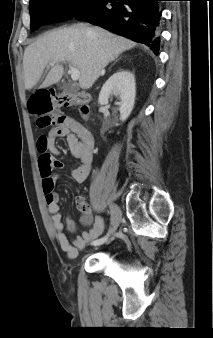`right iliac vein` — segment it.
I'll use <instances>...</instances> for the list:
<instances>
[{
	"instance_id": "63e3f726",
	"label": "right iliac vein",
	"mask_w": 213,
	"mask_h": 338,
	"mask_svg": "<svg viewBox=\"0 0 213 338\" xmlns=\"http://www.w3.org/2000/svg\"><path fill=\"white\" fill-rule=\"evenodd\" d=\"M110 215H111V229L110 231L113 232L117 229L119 223H120V220H121V211L119 209L118 206L116 205H111V208H110Z\"/></svg>"
}]
</instances>
